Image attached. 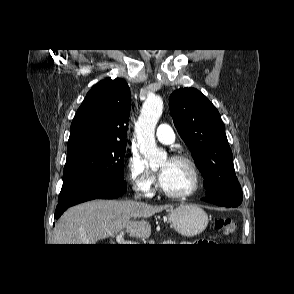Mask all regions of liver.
<instances>
[{
    "label": "liver",
    "mask_w": 294,
    "mask_h": 294,
    "mask_svg": "<svg viewBox=\"0 0 294 294\" xmlns=\"http://www.w3.org/2000/svg\"><path fill=\"white\" fill-rule=\"evenodd\" d=\"M169 207L132 200L88 201L60 217L54 229V244H95L124 229L132 237L147 238L151 225L145 219Z\"/></svg>",
    "instance_id": "obj_1"
}]
</instances>
